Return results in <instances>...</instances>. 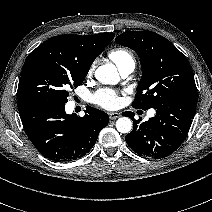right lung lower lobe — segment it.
Returning a JSON list of instances; mask_svg holds the SVG:
<instances>
[{"label": "right lung lower lobe", "instance_id": "98d812e1", "mask_svg": "<svg viewBox=\"0 0 212 212\" xmlns=\"http://www.w3.org/2000/svg\"><path fill=\"white\" fill-rule=\"evenodd\" d=\"M17 106L26 134L36 149L56 162L85 156L94 146L109 116L87 107L84 117L66 114L65 104L41 98H21Z\"/></svg>", "mask_w": 212, "mask_h": 212}]
</instances>
